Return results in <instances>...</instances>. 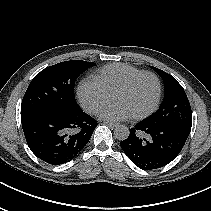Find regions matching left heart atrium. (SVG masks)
Returning a JSON list of instances; mask_svg holds the SVG:
<instances>
[{
    "label": "left heart atrium",
    "mask_w": 211,
    "mask_h": 211,
    "mask_svg": "<svg viewBox=\"0 0 211 211\" xmlns=\"http://www.w3.org/2000/svg\"><path fill=\"white\" fill-rule=\"evenodd\" d=\"M99 117L109 121H122L130 118L131 113L120 103L113 102L99 112Z\"/></svg>",
    "instance_id": "obj_1"
}]
</instances>
